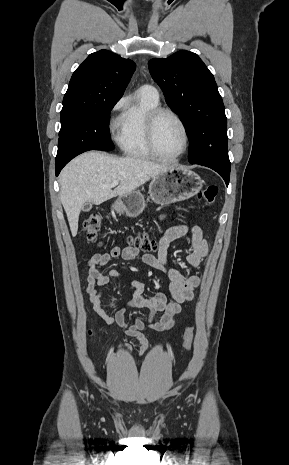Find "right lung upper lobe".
I'll return each instance as SVG.
<instances>
[{"label":"right lung upper lobe","instance_id":"1","mask_svg":"<svg viewBox=\"0 0 289 465\" xmlns=\"http://www.w3.org/2000/svg\"><path fill=\"white\" fill-rule=\"evenodd\" d=\"M135 70V63L108 50L90 54L73 73L61 112L86 109L120 99Z\"/></svg>","mask_w":289,"mask_h":465}]
</instances>
